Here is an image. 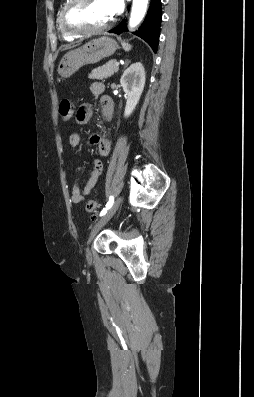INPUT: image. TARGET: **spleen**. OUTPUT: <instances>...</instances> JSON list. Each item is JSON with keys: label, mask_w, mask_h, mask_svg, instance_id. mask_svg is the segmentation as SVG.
I'll use <instances>...</instances> for the list:
<instances>
[{"label": "spleen", "mask_w": 254, "mask_h": 397, "mask_svg": "<svg viewBox=\"0 0 254 397\" xmlns=\"http://www.w3.org/2000/svg\"><path fill=\"white\" fill-rule=\"evenodd\" d=\"M122 46L126 51L131 50L132 46L128 43H126L125 41H122Z\"/></svg>", "instance_id": "obj_1"}]
</instances>
